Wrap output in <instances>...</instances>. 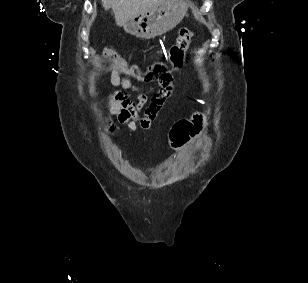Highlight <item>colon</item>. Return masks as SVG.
I'll return each instance as SVG.
<instances>
[{"label":"colon","instance_id":"5ec220e1","mask_svg":"<svg viewBox=\"0 0 308 283\" xmlns=\"http://www.w3.org/2000/svg\"><path fill=\"white\" fill-rule=\"evenodd\" d=\"M195 33L188 28H180L175 43L169 49L166 57L143 70L138 65L130 64L124 57L110 48H104L102 54L113 65L127 74L139 76L147 80H157L164 86L173 85L171 71L182 66L186 51ZM205 114L196 111L189 119L176 122L170 131V145L174 150L183 148L190 140L195 138L202 130Z\"/></svg>","mask_w":308,"mask_h":283}]
</instances>
